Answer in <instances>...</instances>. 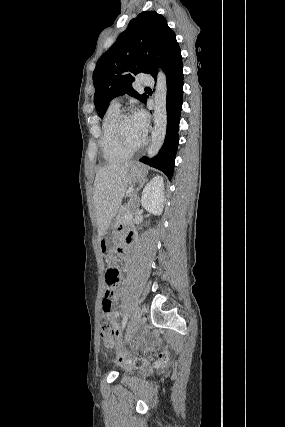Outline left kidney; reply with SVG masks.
<instances>
[{
	"label": "left kidney",
	"instance_id": "obj_1",
	"mask_svg": "<svg viewBox=\"0 0 285 427\" xmlns=\"http://www.w3.org/2000/svg\"><path fill=\"white\" fill-rule=\"evenodd\" d=\"M142 206L154 215H160L164 204V181L162 176L154 177L143 189Z\"/></svg>",
	"mask_w": 285,
	"mask_h": 427
}]
</instances>
